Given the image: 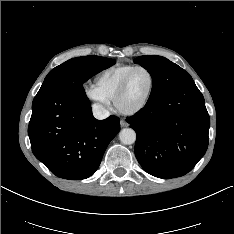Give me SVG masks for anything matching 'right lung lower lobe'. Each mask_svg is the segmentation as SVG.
Masks as SVG:
<instances>
[{"label":"right lung lower lobe","instance_id":"1","mask_svg":"<svg viewBox=\"0 0 234 234\" xmlns=\"http://www.w3.org/2000/svg\"><path fill=\"white\" fill-rule=\"evenodd\" d=\"M119 124L113 115L95 119L83 85L66 74L43 82L32 103L28 135L33 154L53 174L80 180L97 170Z\"/></svg>","mask_w":234,"mask_h":234}]
</instances>
